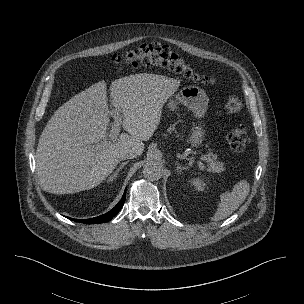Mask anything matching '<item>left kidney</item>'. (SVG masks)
Returning <instances> with one entry per match:
<instances>
[{"instance_id": "left-kidney-1", "label": "left kidney", "mask_w": 304, "mask_h": 304, "mask_svg": "<svg viewBox=\"0 0 304 304\" xmlns=\"http://www.w3.org/2000/svg\"><path fill=\"white\" fill-rule=\"evenodd\" d=\"M190 183L198 191H203L206 186L205 182L201 178H194Z\"/></svg>"}]
</instances>
